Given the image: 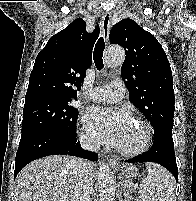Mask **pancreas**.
I'll list each match as a JSON object with an SVG mask.
<instances>
[{"instance_id": "1", "label": "pancreas", "mask_w": 196, "mask_h": 201, "mask_svg": "<svg viewBox=\"0 0 196 201\" xmlns=\"http://www.w3.org/2000/svg\"><path fill=\"white\" fill-rule=\"evenodd\" d=\"M131 190L127 189L126 192L124 193L125 200L124 201H131V196H130Z\"/></svg>"}]
</instances>
